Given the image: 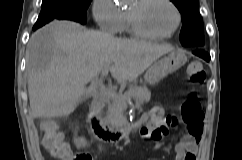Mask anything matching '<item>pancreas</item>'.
<instances>
[{
    "instance_id": "pancreas-1",
    "label": "pancreas",
    "mask_w": 242,
    "mask_h": 160,
    "mask_svg": "<svg viewBox=\"0 0 242 160\" xmlns=\"http://www.w3.org/2000/svg\"><path fill=\"white\" fill-rule=\"evenodd\" d=\"M150 98L151 93L146 86L131 87L126 93L117 95L116 98H111L104 118L105 122L113 128H120L126 125L127 119L124 111L127 108V102L134 99L136 104L141 105L144 102H148Z\"/></svg>"
}]
</instances>
